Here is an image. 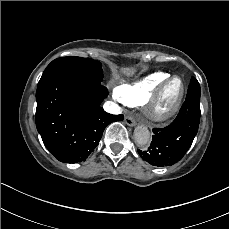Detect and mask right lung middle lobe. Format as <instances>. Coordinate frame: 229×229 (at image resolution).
<instances>
[{
    "mask_svg": "<svg viewBox=\"0 0 229 229\" xmlns=\"http://www.w3.org/2000/svg\"><path fill=\"white\" fill-rule=\"evenodd\" d=\"M63 74L84 75L98 79L99 81L103 79L100 62L91 58L68 56L53 60L44 70L38 86Z\"/></svg>",
    "mask_w": 229,
    "mask_h": 229,
    "instance_id": "dd1d6c3e",
    "label": "right lung middle lobe"
}]
</instances>
